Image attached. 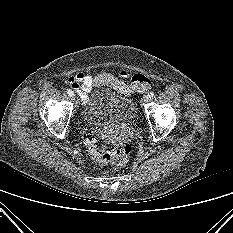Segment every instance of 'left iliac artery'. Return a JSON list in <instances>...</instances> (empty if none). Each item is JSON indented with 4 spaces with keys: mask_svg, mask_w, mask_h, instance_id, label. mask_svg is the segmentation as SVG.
<instances>
[{
    "mask_svg": "<svg viewBox=\"0 0 233 233\" xmlns=\"http://www.w3.org/2000/svg\"><path fill=\"white\" fill-rule=\"evenodd\" d=\"M147 96H148V98H152V97L154 96V92H149V93L147 94Z\"/></svg>",
    "mask_w": 233,
    "mask_h": 233,
    "instance_id": "left-iliac-artery-1",
    "label": "left iliac artery"
}]
</instances>
